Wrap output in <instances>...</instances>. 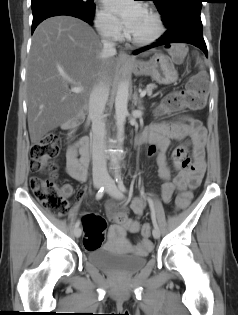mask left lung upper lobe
I'll return each mask as SVG.
<instances>
[{"label": "left lung upper lobe", "mask_w": 238, "mask_h": 315, "mask_svg": "<svg viewBox=\"0 0 238 315\" xmlns=\"http://www.w3.org/2000/svg\"><path fill=\"white\" fill-rule=\"evenodd\" d=\"M154 1L163 23L171 21L180 11L202 7V0H151Z\"/></svg>", "instance_id": "obj_1"}]
</instances>
